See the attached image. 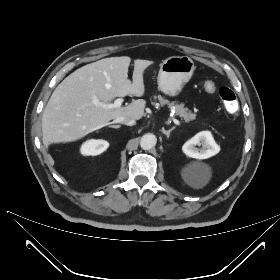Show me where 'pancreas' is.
Returning a JSON list of instances; mask_svg holds the SVG:
<instances>
[{"label": "pancreas", "instance_id": "cf45deb5", "mask_svg": "<svg viewBox=\"0 0 280 280\" xmlns=\"http://www.w3.org/2000/svg\"><path fill=\"white\" fill-rule=\"evenodd\" d=\"M154 100H158V103L152 102L153 105L165 106L168 105L170 109L175 110V115L179 116L185 122H190L195 120L196 114L191 112L188 108L184 107V104H179L178 102L172 101L163 98L161 95L154 96Z\"/></svg>", "mask_w": 280, "mask_h": 280}]
</instances>
